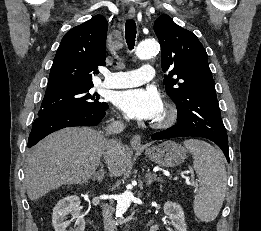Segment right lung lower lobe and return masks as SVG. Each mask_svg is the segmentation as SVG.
Masks as SVG:
<instances>
[{
    "instance_id": "obj_1",
    "label": "right lung lower lobe",
    "mask_w": 261,
    "mask_h": 231,
    "mask_svg": "<svg viewBox=\"0 0 261 231\" xmlns=\"http://www.w3.org/2000/svg\"><path fill=\"white\" fill-rule=\"evenodd\" d=\"M108 105L100 109L70 110L37 118L28 139L30 148L48 134L70 126H95L105 116Z\"/></svg>"
}]
</instances>
